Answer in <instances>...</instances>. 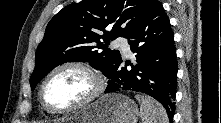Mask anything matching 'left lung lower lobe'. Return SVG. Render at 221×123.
I'll return each mask as SVG.
<instances>
[{"label": "left lung lower lobe", "mask_w": 221, "mask_h": 123, "mask_svg": "<svg viewBox=\"0 0 221 123\" xmlns=\"http://www.w3.org/2000/svg\"><path fill=\"white\" fill-rule=\"evenodd\" d=\"M136 64L122 58L114 65L105 93L130 90L157 99L171 120L175 111L177 59L170 21L159 1L128 37ZM127 65L131 69H126Z\"/></svg>", "instance_id": "obj_1"}]
</instances>
